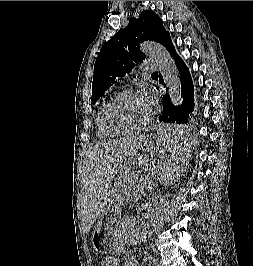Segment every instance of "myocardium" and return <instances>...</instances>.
I'll list each match as a JSON object with an SVG mask.
<instances>
[{
  "instance_id": "f54148a6",
  "label": "myocardium",
  "mask_w": 253,
  "mask_h": 266,
  "mask_svg": "<svg viewBox=\"0 0 253 266\" xmlns=\"http://www.w3.org/2000/svg\"><path fill=\"white\" fill-rule=\"evenodd\" d=\"M142 95L141 92L139 90L136 89H124L118 93H116L114 96H112L107 103L104 105L103 110H102V114H101V122L102 125L104 127V129L112 134L115 135H120V134H128V133H132L134 131L139 130L140 128H142L143 126H145L148 123L149 117H146V119L141 122L140 124L134 126V127H129V128H120V127H116L113 126L109 123L108 121V113L111 109V107L113 106V104L119 100L120 98L127 96V95Z\"/></svg>"
}]
</instances>
